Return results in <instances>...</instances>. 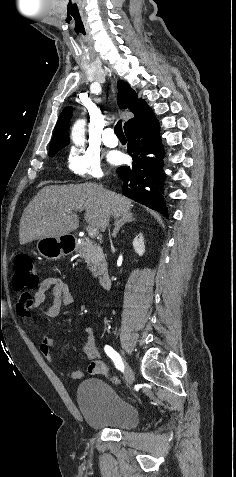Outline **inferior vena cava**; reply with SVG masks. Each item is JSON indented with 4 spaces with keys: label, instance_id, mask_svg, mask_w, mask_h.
Masks as SVG:
<instances>
[{
    "label": "inferior vena cava",
    "instance_id": "obj_1",
    "mask_svg": "<svg viewBox=\"0 0 236 477\" xmlns=\"http://www.w3.org/2000/svg\"><path fill=\"white\" fill-rule=\"evenodd\" d=\"M108 222H109V219H108V216L105 218V221H104V224L105 225H108Z\"/></svg>",
    "mask_w": 236,
    "mask_h": 477
}]
</instances>
